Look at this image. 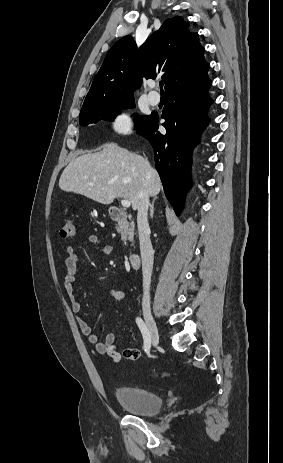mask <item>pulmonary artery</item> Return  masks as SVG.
I'll use <instances>...</instances> for the list:
<instances>
[{"label":"pulmonary artery","mask_w":283,"mask_h":463,"mask_svg":"<svg viewBox=\"0 0 283 463\" xmlns=\"http://www.w3.org/2000/svg\"><path fill=\"white\" fill-rule=\"evenodd\" d=\"M151 88H153V89L156 88V84L155 83L152 84ZM147 100H148L150 105L156 106L160 102V96L156 91L152 90V91L149 92V94L147 96Z\"/></svg>","instance_id":"1"}]
</instances>
